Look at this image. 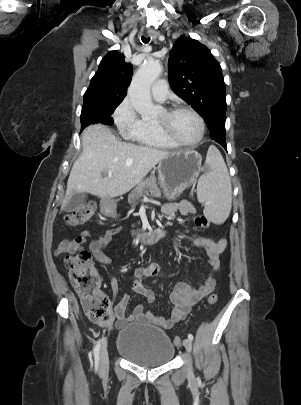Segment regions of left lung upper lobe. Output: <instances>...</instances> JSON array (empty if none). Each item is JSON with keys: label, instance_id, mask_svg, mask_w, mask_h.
Here are the masks:
<instances>
[{"label": "left lung upper lobe", "instance_id": "5c2ea615", "mask_svg": "<svg viewBox=\"0 0 301 405\" xmlns=\"http://www.w3.org/2000/svg\"><path fill=\"white\" fill-rule=\"evenodd\" d=\"M173 91L205 120L211 138H225L226 94L220 64L197 40L180 37L170 51Z\"/></svg>", "mask_w": 301, "mask_h": 405}]
</instances>
